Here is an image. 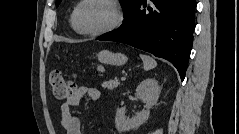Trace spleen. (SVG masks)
Here are the masks:
<instances>
[{"label": "spleen", "instance_id": "obj_1", "mask_svg": "<svg viewBox=\"0 0 239 134\" xmlns=\"http://www.w3.org/2000/svg\"><path fill=\"white\" fill-rule=\"evenodd\" d=\"M140 58L143 61L144 70L148 71L157 66V62L150 56L141 54Z\"/></svg>", "mask_w": 239, "mask_h": 134}]
</instances>
